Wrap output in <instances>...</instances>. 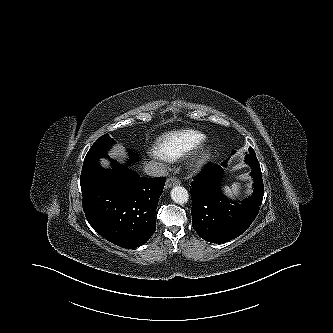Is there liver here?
<instances>
[{
	"mask_svg": "<svg viewBox=\"0 0 333 333\" xmlns=\"http://www.w3.org/2000/svg\"><path fill=\"white\" fill-rule=\"evenodd\" d=\"M109 155L111 157H114V158H116L117 156L118 157L125 156L124 147L122 145H115V146H113V148L109 152ZM101 165L103 167H108L109 162L107 160H105V159H101Z\"/></svg>",
	"mask_w": 333,
	"mask_h": 333,
	"instance_id": "6515ba94",
	"label": "liver"
}]
</instances>
